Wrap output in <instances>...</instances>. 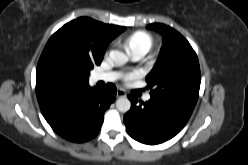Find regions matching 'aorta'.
<instances>
[{
	"label": "aorta",
	"mask_w": 248,
	"mask_h": 165,
	"mask_svg": "<svg viewBox=\"0 0 248 165\" xmlns=\"http://www.w3.org/2000/svg\"><path fill=\"white\" fill-rule=\"evenodd\" d=\"M109 58L118 66L124 65L128 62L127 55L119 50H112L109 54ZM116 107L120 112L126 113L130 110L131 102L127 97L122 96L116 101Z\"/></svg>",
	"instance_id": "1"
}]
</instances>
